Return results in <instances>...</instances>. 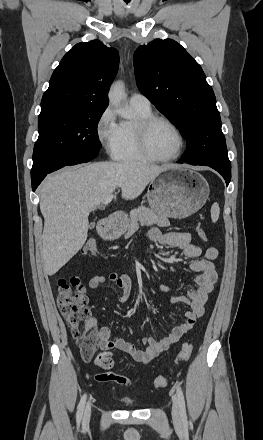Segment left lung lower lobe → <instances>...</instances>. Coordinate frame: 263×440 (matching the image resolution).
I'll return each instance as SVG.
<instances>
[{"instance_id": "obj_1", "label": "left lung lower lobe", "mask_w": 263, "mask_h": 440, "mask_svg": "<svg viewBox=\"0 0 263 440\" xmlns=\"http://www.w3.org/2000/svg\"><path fill=\"white\" fill-rule=\"evenodd\" d=\"M178 163H183V160H179ZM205 166H209L213 169H215L216 171H218L223 178L226 181V184L228 186L230 180H231V166H217V165H205Z\"/></svg>"}]
</instances>
